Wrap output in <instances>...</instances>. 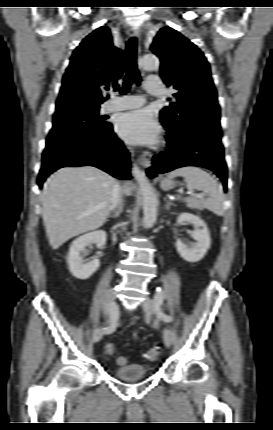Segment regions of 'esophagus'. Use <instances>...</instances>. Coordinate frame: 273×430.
<instances>
[{
  "mask_svg": "<svg viewBox=\"0 0 273 430\" xmlns=\"http://www.w3.org/2000/svg\"><path fill=\"white\" fill-rule=\"evenodd\" d=\"M127 33L131 37H137L140 40V31L134 27H129ZM152 153L148 150L143 151L139 157V162L142 167L148 168L151 166Z\"/></svg>",
  "mask_w": 273,
  "mask_h": 430,
  "instance_id": "34e87169",
  "label": "esophagus"
}]
</instances>
